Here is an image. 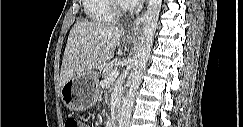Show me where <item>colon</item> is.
I'll return each instance as SVG.
<instances>
[{
    "mask_svg": "<svg viewBox=\"0 0 243 127\" xmlns=\"http://www.w3.org/2000/svg\"><path fill=\"white\" fill-rule=\"evenodd\" d=\"M65 126L66 127H79L80 124L78 123V121L75 118L69 117L66 119Z\"/></svg>",
    "mask_w": 243,
    "mask_h": 127,
    "instance_id": "colon-1",
    "label": "colon"
}]
</instances>
